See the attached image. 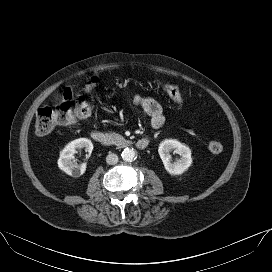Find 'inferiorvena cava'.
<instances>
[{
	"label": "inferior vena cava",
	"instance_id": "obj_1",
	"mask_svg": "<svg viewBox=\"0 0 272 272\" xmlns=\"http://www.w3.org/2000/svg\"><path fill=\"white\" fill-rule=\"evenodd\" d=\"M106 162L109 165H114L118 162V156L114 153H109L106 157Z\"/></svg>",
	"mask_w": 272,
	"mask_h": 272
}]
</instances>
